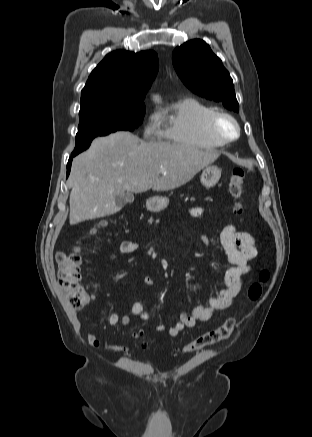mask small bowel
Segmentation results:
<instances>
[{"label":"small bowel","instance_id":"obj_1","mask_svg":"<svg viewBox=\"0 0 312 437\" xmlns=\"http://www.w3.org/2000/svg\"><path fill=\"white\" fill-rule=\"evenodd\" d=\"M202 212L203 209L201 207H194L191 210V215L199 216ZM219 241L231 264V267L225 273L223 287L210 300L207 306L196 305L190 314L181 313L178 322L169 328L170 336L176 337L184 329L194 327L198 321L210 320L214 312L230 307L241 289L243 276L250 271L252 262L258 257V249L251 234L239 231L233 223H229L223 228ZM198 242L205 246L210 245V240L205 235L199 236ZM139 249L140 244L132 240H123L119 246V250L122 253H133ZM143 283L146 286H153L154 280L150 276H145ZM130 312L143 322H149V315L140 302H133L130 306ZM105 322L110 325L122 322L126 326H131V321L126 314H111L105 318ZM152 327L156 331L164 330V326L161 324L152 325ZM87 342L95 348L103 347L112 352L128 351L126 346L106 340L102 341L91 332L87 334ZM135 346L138 345L135 344Z\"/></svg>","mask_w":312,"mask_h":437}]
</instances>
